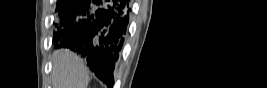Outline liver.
I'll list each match as a JSON object with an SVG mask.
<instances>
[{
    "label": "liver",
    "instance_id": "6515ba94",
    "mask_svg": "<svg viewBox=\"0 0 267 88\" xmlns=\"http://www.w3.org/2000/svg\"><path fill=\"white\" fill-rule=\"evenodd\" d=\"M53 88H87L89 72L83 61L69 49H58L51 56Z\"/></svg>",
    "mask_w": 267,
    "mask_h": 88
}]
</instances>
